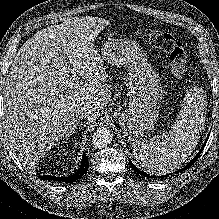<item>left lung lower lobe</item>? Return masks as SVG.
Here are the masks:
<instances>
[{
	"mask_svg": "<svg viewBox=\"0 0 219 219\" xmlns=\"http://www.w3.org/2000/svg\"><path fill=\"white\" fill-rule=\"evenodd\" d=\"M210 135V134H209ZM209 135L204 143V145L202 146L201 150L198 152V154L193 158L192 161L189 162V164H187L184 168H182L181 170H178V172L182 171V170H187L192 164H194L196 162V160L198 159L201 151L203 150L204 146L206 145V142L209 138ZM130 166L132 167V169L137 172L138 174L147 177V178H151L152 176H149L147 173H144L143 171L139 170L137 167H135V165L129 160Z\"/></svg>",
	"mask_w": 219,
	"mask_h": 219,
	"instance_id": "0a47b994",
	"label": "left lung lower lobe"
}]
</instances>
